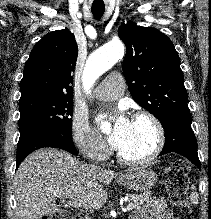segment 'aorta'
<instances>
[{
	"mask_svg": "<svg viewBox=\"0 0 211 219\" xmlns=\"http://www.w3.org/2000/svg\"><path fill=\"white\" fill-rule=\"evenodd\" d=\"M123 55L124 46L118 40L109 42L92 53L83 73L84 88L90 90L95 80L109 70ZM101 128L104 133H109L111 129L108 123H103Z\"/></svg>",
	"mask_w": 211,
	"mask_h": 219,
	"instance_id": "762f6f07",
	"label": "aorta"
}]
</instances>
